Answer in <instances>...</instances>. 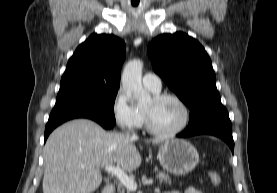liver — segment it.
<instances>
[{
    "label": "liver",
    "mask_w": 277,
    "mask_h": 193,
    "mask_svg": "<svg viewBox=\"0 0 277 193\" xmlns=\"http://www.w3.org/2000/svg\"><path fill=\"white\" fill-rule=\"evenodd\" d=\"M136 140L128 134L106 132L87 119L63 124L45 144L43 193H92L102 183V167L138 168L141 156Z\"/></svg>",
    "instance_id": "6515ba94"
}]
</instances>
